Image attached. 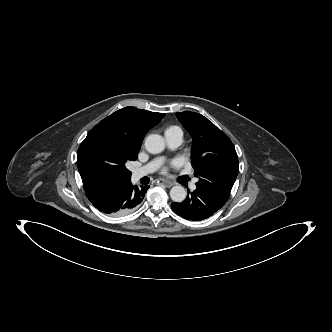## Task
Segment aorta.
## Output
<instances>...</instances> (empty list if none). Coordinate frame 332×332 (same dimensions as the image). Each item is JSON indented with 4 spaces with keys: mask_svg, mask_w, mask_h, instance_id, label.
<instances>
[{
    "mask_svg": "<svg viewBox=\"0 0 332 332\" xmlns=\"http://www.w3.org/2000/svg\"><path fill=\"white\" fill-rule=\"evenodd\" d=\"M145 148L151 154L161 153L165 149V141L158 134H151L145 139ZM170 197L174 202H183L186 198V191L182 186H174L170 190Z\"/></svg>",
    "mask_w": 332,
    "mask_h": 332,
    "instance_id": "aorta-1",
    "label": "aorta"
}]
</instances>
